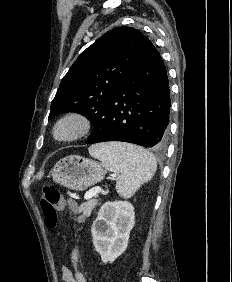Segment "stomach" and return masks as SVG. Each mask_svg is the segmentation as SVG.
Listing matches in <instances>:
<instances>
[{"label":"stomach","mask_w":232,"mask_h":282,"mask_svg":"<svg viewBox=\"0 0 232 282\" xmlns=\"http://www.w3.org/2000/svg\"><path fill=\"white\" fill-rule=\"evenodd\" d=\"M106 171L94 160L81 156H67L59 160L52 169L53 180L75 191H82L100 182Z\"/></svg>","instance_id":"0dacf381"}]
</instances>
